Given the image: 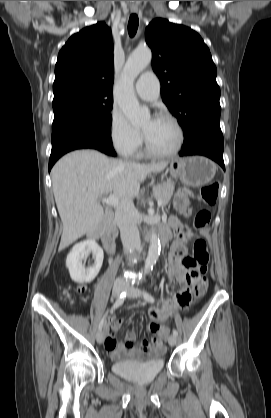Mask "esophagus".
Segmentation results:
<instances>
[{
	"instance_id": "esophagus-1",
	"label": "esophagus",
	"mask_w": 271,
	"mask_h": 418,
	"mask_svg": "<svg viewBox=\"0 0 271 418\" xmlns=\"http://www.w3.org/2000/svg\"><path fill=\"white\" fill-rule=\"evenodd\" d=\"M130 10H131L132 13H136L138 11V9L136 7H132Z\"/></svg>"
}]
</instances>
